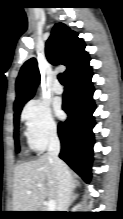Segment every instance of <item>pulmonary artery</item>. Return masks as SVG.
Segmentation results:
<instances>
[{
  "instance_id": "obj_1",
  "label": "pulmonary artery",
  "mask_w": 123,
  "mask_h": 219,
  "mask_svg": "<svg viewBox=\"0 0 123 219\" xmlns=\"http://www.w3.org/2000/svg\"><path fill=\"white\" fill-rule=\"evenodd\" d=\"M52 91H53V93H55V94H62L63 88H62L61 84H60L58 81H56V82L54 83V85H53V87H52Z\"/></svg>"
}]
</instances>
